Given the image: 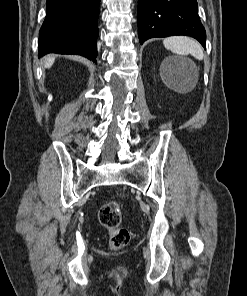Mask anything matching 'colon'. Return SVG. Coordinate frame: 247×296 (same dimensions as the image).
I'll use <instances>...</instances> for the list:
<instances>
[{"label": "colon", "mask_w": 247, "mask_h": 296, "mask_svg": "<svg viewBox=\"0 0 247 296\" xmlns=\"http://www.w3.org/2000/svg\"><path fill=\"white\" fill-rule=\"evenodd\" d=\"M101 225L107 230L110 237V247L119 250L130 241V231L121 224V210L117 202L111 201L103 204L98 213Z\"/></svg>", "instance_id": "obj_1"}]
</instances>
